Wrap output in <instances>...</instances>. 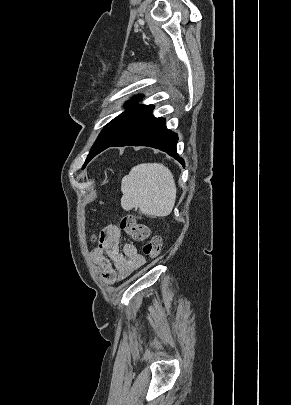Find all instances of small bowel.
<instances>
[{"instance_id": "1", "label": "small bowel", "mask_w": 291, "mask_h": 405, "mask_svg": "<svg viewBox=\"0 0 291 405\" xmlns=\"http://www.w3.org/2000/svg\"><path fill=\"white\" fill-rule=\"evenodd\" d=\"M120 242V230L108 225L101 231L99 243L91 253L102 280L108 285L125 279L145 264V258L138 253L134 244L126 243L121 248Z\"/></svg>"}]
</instances>
